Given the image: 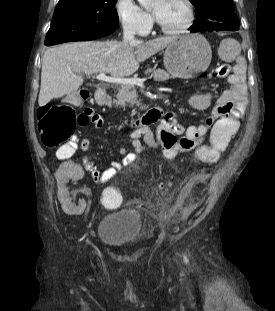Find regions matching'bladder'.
<instances>
[{"mask_svg": "<svg viewBox=\"0 0 275 311\" xmlns=\"http://www.w3.org/2000/svg\"><path fill=\"white\" fill-rule=\"evenodd\" d=\"M142 234L139 211L118 209L105 215L99 222L97 237L116 247L135 245Z\"/></svg>", "mask_w": 275, "mask_h": 311, "instance_id": "bladder-1", "label": "bladder"}]
</instances>
